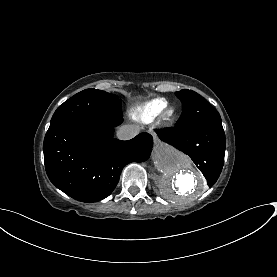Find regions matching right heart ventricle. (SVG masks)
Here are the masks:
<instances>
[{"label":"right heart ventricle","mask_w":277,"mask_h":277,"mask_svg":"<svg viewBox=\"0 0 277 277\" xmlns=\"http://www.w3.org/2000/svg\"><path fill=\"white\" fill-rule=\"evenodd\" d=\"M168 101L164 98L152 100L142 106L134 108L130 112V117L140 123L152 122L160 112L168 105Z\"/></svg>","instance_id":"1"}]
</instances>
